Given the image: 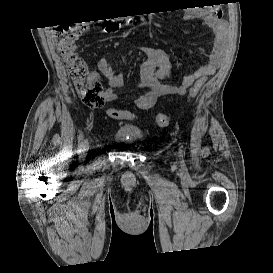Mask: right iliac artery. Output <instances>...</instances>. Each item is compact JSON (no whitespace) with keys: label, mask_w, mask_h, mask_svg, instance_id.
Wrapping results in <instances>:
<instances>
[{"label":"right iliac artery","mask_w":273,"mask_h":273,"mask_svg":"<svg viewBox=\"0 0 273 273\" xmlns=\"http://www.w3.org/2000/svg\"><path fill=\"white\" fill-rule=\"evenodd\" d=\"M83 133L80 132L79 135H78V150L77 152H81L82 151V141H83Z\"/></svg>","instance_id":"82829eb1"}]
</instances>
